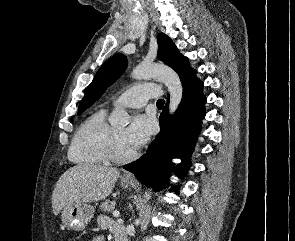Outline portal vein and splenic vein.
<instances>
[{
  "mask_svg": "<svg viewBox=\"0 0 295 241\" xmlns=\"http://www.w3.org/2000/svg\"><path fill=\"white\" fill-rule=\"evenodd\" d=\"M113 216H114V217H119V212H118V211H114V212H113Z\"/></svg>",
  "mask_w": 295,
  "mask_h": 241,
  "instance_id": "portal-vein-and-splenic-vein-1",
  "label": "portal vein and splenic vein"
}]
</instances>
